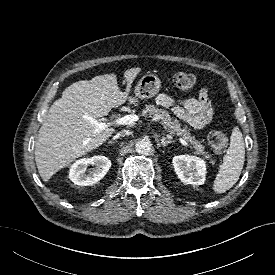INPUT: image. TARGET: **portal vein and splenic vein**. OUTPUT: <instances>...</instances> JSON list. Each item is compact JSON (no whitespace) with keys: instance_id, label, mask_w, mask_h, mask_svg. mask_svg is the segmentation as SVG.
Segmentation results:
<instances>
[{"instance_id":"portal-vein-and-splenic-vein-1","label":"portal vein and splenic vein","mask_w":275,"mask_h":275,"mask_svg":"<svg viewBox=\"0 0 275 275\" xmlns=\"http://www.w3.org/2000/svg\"><path fill=\"white\" fill-rule=\"evenodd\" d=\"M84 118L87 119L93 126H95V132H99L112 125H133L139 120V117L135 114L125 115L110 122L98 121L90 116H84ZM180 142L182 145L189 147V144L184 139H180Z\"/></svg>"}]
</instances>
